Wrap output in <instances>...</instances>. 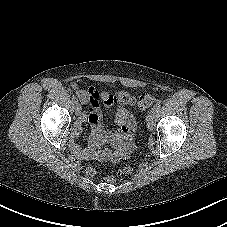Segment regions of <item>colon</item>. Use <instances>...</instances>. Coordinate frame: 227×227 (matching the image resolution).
<instances>
[{
    "label": "colon",
    "instance_id": "1",
    "mask_svg": "<svg viewBox=\"0 0 227 227\" xmlns=\"http://www.w3.org/2000/svg\"><path fill=\"white\" fill-rule=\"evenodd\" d=\"M115 100L118 103L121 104H128L132 101V98L129 94L126 92H118L115 94ZM157 101V98L150 94L142 95L137 100V107L141 110H146L150 108L155 102ZM133 169L131 167H123L117 170L116 174H112L107 177V181L109 182H115L117 179V176L120 175H127L132 173ZM87 173L89 175H94L96 173V170L92 166L87 167Z\"/></svg>",
    "mask_w": 227,
    "mask_h": 227
}]
</instances>
